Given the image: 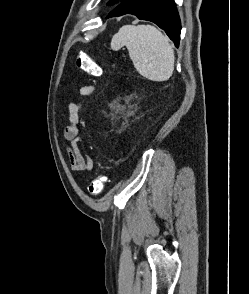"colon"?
Segmentation results:
<instances>
[{
  "instance_id": "colon-1",
  "label": "colon",
  "mask_w": 249,
  "mask_h": 294,
  "mask_svg": "<svg viewBox=\"0 0 249 294\" xmlns=\"http://www.w3.org/2000/svg\"><path fill=\"white\" fill-rule=\"evenodd\" d=\"M76 65L79 69L91 76H100L102 73L101 67L85 53H78ZM107 181L108 177L106 175H99L89 184L88 192L93 196L100 194Z\"/></svg>"
}]
</instances>
